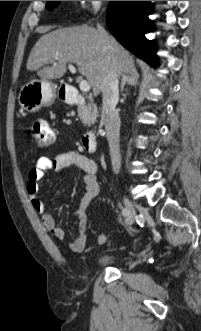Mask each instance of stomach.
<instances>
[{
  "label": "stomach",
  "mask_w": 201,
  "mask_h": 331,
  "mask_svg": "<svg viewBox=\"0 0 201 331\" xmlns=\"http://www.w3.org/2000/svg\"><path fill=\"white\" fill-rule=\"evenodd\" d=\"M55 97V89L50 81L33 79L22 86L18 102L22 109L34 113L44 106H50Z\"/></svg>",
  "instance_id": "obj_1"
}]
</instances>
